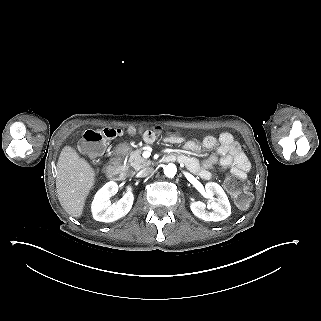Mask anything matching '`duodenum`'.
Returning <instances> with one entry per match:
<instances>
[{
  "mask_svg": "<svg viewBox=\"0 0 321 321\" xmlns=\"http://www.w3.org/2000/svg\"><path fill=\"white\" fill-rule=\"evenodd\" d=\"M176 160L181 161L182 158L173 153L165 154L162 158V161L166 163L174 162ZM106 173L110 179L115 181H119L124 178L125 171L122 161L119 157H114L108 162V164L106 165Z\"/></svg>",
  "mask_w": 321,
  "mask_h": 321,
  "instance_id": "1",
  "label": "duodenum"
}]
</instances>
